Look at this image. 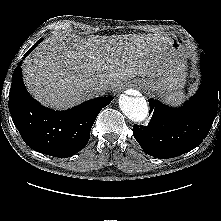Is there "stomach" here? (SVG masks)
<instances>
[{
	"label": "stomach",
	"instance_id": "1",
	"mask_svg": "<svg viewBox=\"0 0 221 221\" xmlns=\"http://www.w3.org/2000/svg\"><path fill=\"white\" fill-rule=\"evenodd\" d=\"M186 42L176 37L171 41L172 60L163 72L155 78H140L134 83L141 89L155 92L169 103H178L183 98V87L186 81L185 50Z\"/></svg>",
	"mask_w": 221,
	"mask_h": 221
}]
</instances>
